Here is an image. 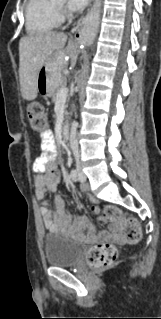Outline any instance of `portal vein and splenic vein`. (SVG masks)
<instances>
[{
  "mask_svg": "<svg viewBox=\"0 0 161 319\" xmlns=\"http://www.w3.org/2000/svg\"><path fill=\"white\" fill-rule=\"evenodd\" d=\"M68 95V89L67 88H62L58 91L57 93V98L58 99H65Z\"/></svg>",
  "mask_w": 161,
  "mask_h": 319,
  "instance_id": "18ae733b",
  "label": "portal vein and splenic vein"
}]
</instances>
